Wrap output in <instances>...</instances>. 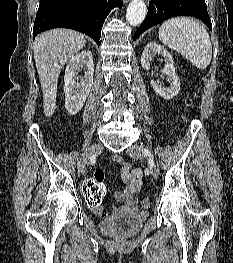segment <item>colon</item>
<instances>
[{
  "instance_id": "obj_1",
  "label": "colon",
  "mask_w": 233,
  "mask_h": 263,
  "mask_svg": "<svg viewBox=\"0 0 233 263\" xmlns=\"http://www.w3.org/2000/svg\"><path fill=\"white\" fill-rule=\"evenodd\" d=\"M194 96H190L186 99V106H190L193 103ZM91 173L94 174L91 178H83L84 183V193L85 199V208H96V205H100L101 200L105 194V186L103 179L105 176L104 169H92ZM150 205V200L148 197H143L141 199V206L148 207Z\"/></svg>"
}]
</instances>
